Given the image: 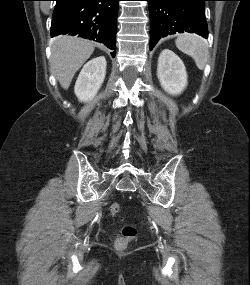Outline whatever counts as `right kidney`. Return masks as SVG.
<instances>
[{"label": "right kidney", "instance_id": "right-kidney-1", "mask_svg": "<svg viewBox=\"0 0 250 285\" xmlns=\"http://www.w3.org/2000/svg\"><path fill=\"white\" fill-rule=\"evenodd\" d=\"M106 74V59L104 56L88 61L82 68L74 87V92L80 101L92 99L104 82Z\"/></svg>", "mask_w": 250, "mask_h": 285}]
</instances>
